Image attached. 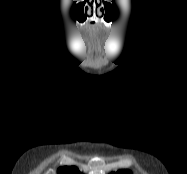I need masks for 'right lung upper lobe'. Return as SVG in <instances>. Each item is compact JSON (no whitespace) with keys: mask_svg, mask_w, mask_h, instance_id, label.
<instances>
[{"mask_svg":"<svg viewBox=\"0 0 187 174\" xmlns=\"http://www.w3.org/2000/svg\"><path fill=\"white\" fill-rule=\"evenodd\" d=\"M58 174H81L78 168L71 166V167H61L58 169Z\"/></svg>","mask_w":187,"mask_h":174,"instance_id":"obj_1","label":"right lung upper lobe"}]
</instances>
